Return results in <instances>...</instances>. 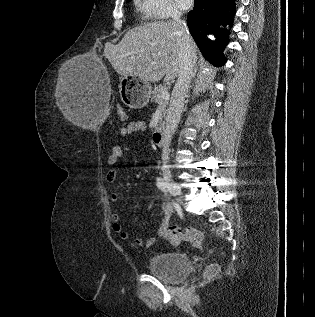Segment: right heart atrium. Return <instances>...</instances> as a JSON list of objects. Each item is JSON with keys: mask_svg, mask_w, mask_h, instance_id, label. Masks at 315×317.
I'll use <instances>...</instances> for the list:
<instances>
[{"mask_svg": "<svg viewBox=\"0 0 315 317\" xmlns=\"http://www.w3.org/2000/svg\"><path fill=\"white\" fill-rule=\"evenodd\" d=\"M139 8L150 19L159 20L179 15L172 0H139Z\"/></svg>", "mask_w": 315, "mask_h": 317, "instance_id": "1", "label": "right heart atrium"}]
</instances>
